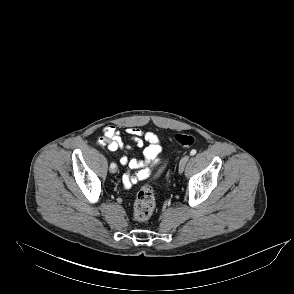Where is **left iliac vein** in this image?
Listing matches in <instances>:
<instances>
[{
    "instance_id": "1",
    "label": "left iliac vein",
    "mask_w": 294,
    "mask_h": 294,
    "mask_svg": "<svg viewBox=\"0 0 294 294\" xmlns=\"http://www.w3.org/2000/svg\"><path fill=\"white\" fill-rule=\"evenodd\" d=\"M189 158V155H185L184 157H182L179 163V173H182L184 171L185 165L188 162Z\"/></svg>"
}]
</instances>
